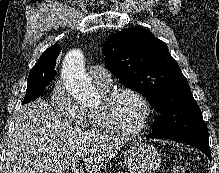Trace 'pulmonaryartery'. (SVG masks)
<instances>
[{"instance_id": "pulmonary-artery-1", "label": "pulmonary artery", "mask_w": 219, "mask_h": 173, "mask_svg": "<svg viewBox=\"0 0 219 173\" xmlns=\"http://www.w3.org/2000/svg\"><path fill=\"white\" fill-rule=\"evenodd\" d=\"M89 75L95 84L101 86H109L111 84V74L101 64L91 66L89 69Z\"/></svg>"}]
</instances>
